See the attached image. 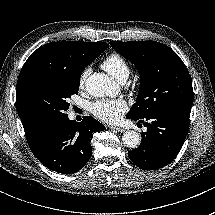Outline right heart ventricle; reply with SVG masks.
<instances>
[{"instance_id": "1", "label": "right heart ventricle", "mask_w": 215, "mask_h": 215, "mask_svg": "<svg viewBox=\"0 0 215 215\" xmlns=\"http://www.w3.org/2000/svg\"><path fill=\"white\" fill-rule=\"evenodd\" d=\"M102 68L118 81L126 79L130 73L128 62L117 53L106 56L102 61Z\"/></svg>"}]
</instances>
